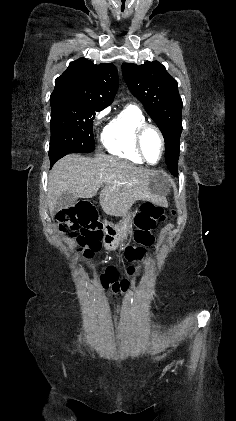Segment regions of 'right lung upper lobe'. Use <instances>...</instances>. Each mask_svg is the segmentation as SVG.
<instances>
[{
  "mask_svg": "<svg viewBox=\"0 0 236 421\" xmlns=\"http://www.w3.org/2000/svg\"><path fill=\"white\" fill-rule=\"evenodd\" d=\"M119 85L116 67L111 64L94 65L80 58L55 80L51 98L82 100L108 106Z\"/></svg>",
  "mask_w": 236,
  "mask_h": 421,
  "instance_id": "1",
  "label": "right lung upper lobe"
}]
</instances>
